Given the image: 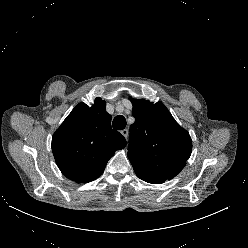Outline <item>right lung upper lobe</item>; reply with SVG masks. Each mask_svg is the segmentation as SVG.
Segmentation results:
<instances>
[{
  "instance_id": "cb5924a9",
  "label": "right lung upper lobe",
  "mask_w": 248,
  "mask_h": 248,
  "mask_svg": "<svg viewBox=\"0 0 248 248\" xmlns=\"http://www.w3.org/2000/svg\"><path fill=\"white\" fill-rule=\"evenodd\" d=\"M125 138L111 128L106 103L96 98L89 107L79 103L52 137V151L61 172L77 183L97 179Z\"/></svg>"
}]
</instances>
